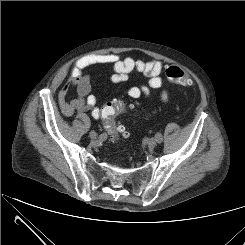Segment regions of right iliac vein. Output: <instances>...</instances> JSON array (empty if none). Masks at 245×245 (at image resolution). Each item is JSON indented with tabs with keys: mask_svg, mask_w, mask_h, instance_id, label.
<instances>
[{
	"mask_svg": "<svg viewBox=\"0 0 245 245\" xmlns=\"http://www.w3.org/2000/svg\"><path fill=\"white\" fill-rule=\"evenodd\" d=\"M89 137L91 138V139H96L97 138V134H96V132H94V131H91L90 133H89Z\"/></svg>",
	"mask_w": 245,
	"mask_h": 245,
	"instance_id": "right-iliac-vein-1",
	"label": "right iliac vein"
}]
</instances>
